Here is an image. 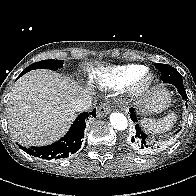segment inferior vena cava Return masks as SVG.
<instances>
[{
  "label": "inferior vena cava",
  "instance_id": "1",
  "mask_svg": "<svg viewBox=\"0 0 196 196\" xmlns=\"http://www.w3.org/2000/svg\"><path fill=\"white\" fill-rule=\"evenodd\" d=\"M92 106V97L89 95H84L82 97H77L72 102V109L75 112H83L90 109Z\"/></svg>",
  "mask_w": 196,
  "mask_h": 196
}]
</instances>
